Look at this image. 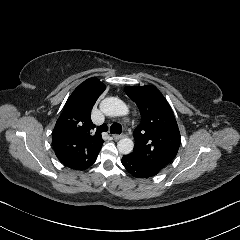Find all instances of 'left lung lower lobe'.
Masks as SVG:
<instances>
[{"mask_svg": "<svg viewBox=\"0 0 240 240\" xmlns=\"http://www.w3.org/2000/svg\"><path fill=\"white\" fill-rule=\"evenodd\" d=\"M122 164L132 176L139 178L152 177L160 171L159 169L146 168L141 164L135 163L128 155L123 156Z\"/></svg>", "mask_w": 240, "mask_h": 240, "instance_id": "obj_1", "label": "left lung lower lobe"}]
</instances>
